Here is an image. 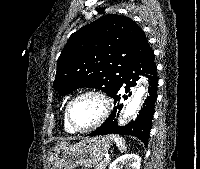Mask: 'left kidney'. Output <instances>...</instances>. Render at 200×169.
<instances>
[{
  "label": "left kidney",
  "instance_id": "5707ae66",
  "mask_svg": "<svg viewBox=\"0 0 200 169\" xmlns=\"http://www.w3.org/2000/svg\"><path fill=\"white\" fill-rule=\"evenodd\" d=\"M141 158L136 154H125L114 160L109 169H121L126 165L127 169H140Z\"/></svg>",
  "mask_w": 200,
  "mask_h": 169
}]
</instances>
